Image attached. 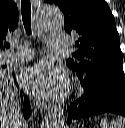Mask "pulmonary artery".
<instances>
[{"mask_svg": "<svg viewBox=\"0 0 125 128\" xmlns=\"http://www.w3.org/2000/svg\"><path fill=\"white\" fill-rule=\"evenodd\" d=\"M68 37L64 34H52L48 38V48L52 50L63 49L67 46ZM33 57V52L23 46L13 44L11 51L4 56L6 63H23Z\"/></svg>", "mask_w": 125, "mask_h": 128, "instance_id": "1", "label": "pulmonary artery"}]
</instances>
